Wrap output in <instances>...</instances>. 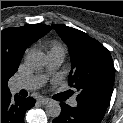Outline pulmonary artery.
Returning <instances> with one entry per match:
<instances>
[{
    "instance_id": "1",
    "label": "pulmonary artery",
    "mask_w": 123,
    "mask_h": 123,
    "mask_svg": "<svg viewBox=\"0 0 123 123\" xmlns=\"http://www.w3.org/2000/svg\"><path fill=\"white\" fill-rule=\"evenodd\" d=\"M66 50L63 46H53L48 52L47 72H54L64 61ZM47 80V74H39L27 79L16 81L12 85L13 91L34 90L41 87ZM72 107L77 106L75 99L71 100Z\"/></svg>"
}]
</instances>
